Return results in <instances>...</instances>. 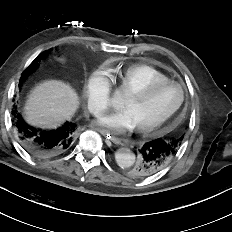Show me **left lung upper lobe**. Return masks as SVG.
<instances>
[{"label":"left lung upper lobe","instance_id":"left-lung-upper-lobe-1","mask_svg":"<svg viewBox=\"0 0 232 232\" xmlns=\"http://www.w3.org/2000/svg\"><path fill=\"white\" fill-rule=\"evenodd\" d=\"M164 139H166L167 141L171 142V143L174 145V147H175L176 149H178V148L180 147L181 142H182V137H177V136H174V137H167V138H164ZM134 166H136V165H133V166L129 167V168L126 170L127 173H128V175L131 176V177H133L131 171H132V169L134 168ZM134 178H135V177H134Z\"/></svg>","mask_w":232,"mask_h":232}]
</instances>
